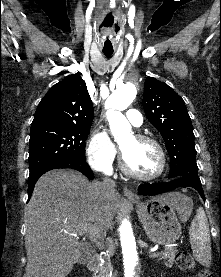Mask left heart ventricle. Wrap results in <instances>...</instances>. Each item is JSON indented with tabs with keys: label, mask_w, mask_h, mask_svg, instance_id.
<instances>
[{
	"label": "left heart ventricle",
	"mask_w": 221,
	"mask_h": 277,
	"mask_svg": "<svg viewBox=\"0 0 221 277\" xmlns=\"http://www.w3.org/2000/svg\"><path fill=\"white\" fill-rule=\"evenodd\" d=\"M128 166L141 175H152L160 166V155L151 143H142L129 137L120 144Z\"/></svg>",
	"instance_id": "b2bd125f"
}]
</instances>
